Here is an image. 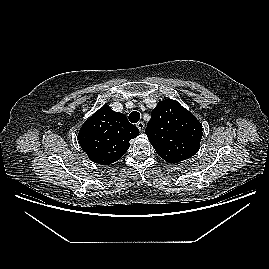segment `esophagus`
<instances>
[{"label": "esophagus", "mask_w": 269, "mask_h": 269, "mask_svg": "<svg viewBox=\"0 0 269 269\" xmlns=\"http://www.w3.org/2000/svg\"><path fill=\"white\" fill-rule=\"evenodd\" d=\"M136 126L138 127V129H139L140 132H143V131H144V128H145V124H144V122L139 121V122L136 124Z\"/></svg>", "instance_id": "esophagus-1"}]
</instances>
